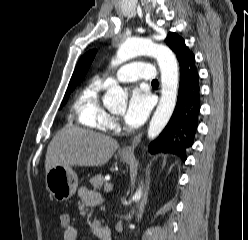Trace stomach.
Wrapping results in <instances>:
<instances>
[{"label": "stomach", "mask_w": 248, "mask_h": 240, "mask_svg": "<svg viewBox=\"0 0 248 240\" xmlns=\"http://www.w3.org/2000/svg\"><path fill=\"white\" fill-rule=\"evenodd\" d=\"M133 156L121 155V160L128 163ZM46 187L56 201L63 202L71 198L78 187V177L69 166L59 165L46 173Z\"/></svg>", "instance_id": "stomach-1"}]
</instances>
